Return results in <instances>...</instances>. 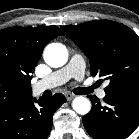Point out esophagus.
<instances>
[{"instance_id": "1", "label": "esophagus", "mask_w": 139, "mask_h": 139, "mask_svg": "<svg viewBox=\"0 0 139 139\" xmlns=\"http://www.w3.org/2000/svg\"><path fill=\"white\" fill-rule=\"evenodd\" d=\"M65 97L68 101H70L75 97V95L68 92V93L65 94Z\"/></svg>"}]
</instances>
